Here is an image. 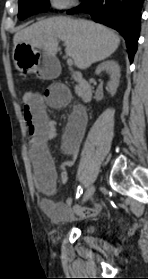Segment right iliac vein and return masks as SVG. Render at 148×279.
<instances>
[{"instance_id": "63e3f726", "label": "right iliac vein", "mask_w": 148, "mask_h": 279, "mask_svg": "<svg viewBox=\"0 0 148 279\" xmlns=\"http://www.w3.org/2000/svg\"><path fill=\"white\" fill-rule=\"evenodd\" d=\"M94 190H95V186L93 184L87 188L82 198V204L86 203L93 196Z\"/></svg>"}]
</instances>
